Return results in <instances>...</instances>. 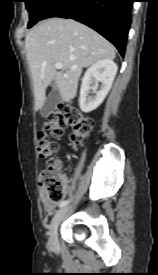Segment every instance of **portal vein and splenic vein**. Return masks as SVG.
I'll list each match as a JSON object with an SVG mask.
<instances>
[{"label": "portal vein and splenic vein", "mask_w": 158, "mask_h": 275, "mask_svg": "<svg viewBox=\"0 0 158 275\" xmlns=\"http://www.w3.org/2000/svg\"><path fill=\"white\" fill-rule=\"evenodd\" d=\"M55 68L56 69H61L62 68V63H60V62L55 63ZM72 69H74V68H72Z\"/></svg>", "instance_id": "obj_1"}]
</instances>
